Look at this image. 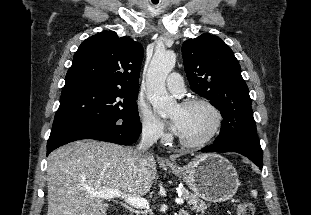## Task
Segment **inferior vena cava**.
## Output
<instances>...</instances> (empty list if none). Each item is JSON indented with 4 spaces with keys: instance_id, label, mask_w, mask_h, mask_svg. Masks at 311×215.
Here are the masks:
<instances>
[{
    "instance_id": "1",
    "label": "inferior vena cava",
    "mask_w": 311,
    "mask_h": 215,
    "mask_svg": "<svg viewBox=\"0 0 311 215\" xmlns=\"http://www.w3.org/2000/svg\"><path fill=\"white\" fill-rule=\"evenodd\" d=\"M159 132L152 126H143L140 142L133 150V155L137 157H143L147 150L157 141Z\"/></svg>"
}]
</instances>
